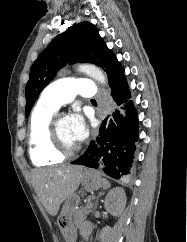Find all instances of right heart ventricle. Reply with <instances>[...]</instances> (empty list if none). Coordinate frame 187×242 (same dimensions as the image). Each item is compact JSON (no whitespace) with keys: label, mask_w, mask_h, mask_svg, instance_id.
<instances>
[{"label":"right heart ventricle","mask_w":187,"mask_h":242,"mask_svg":"<svg viewBox=\"0 0 187 242\" xmlns=\"http://www.w3.org/2000/svg\"><path fill=\"white\" fill-rule=\"evenodd\" d=\"M56 109L38 102L31 114L29 126V154L37 166H49L63 161V157L55 154L48 143V125Z\"/></svg>","instance_id":"obj_1"}]
</instances>
